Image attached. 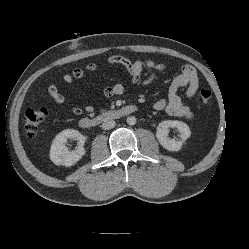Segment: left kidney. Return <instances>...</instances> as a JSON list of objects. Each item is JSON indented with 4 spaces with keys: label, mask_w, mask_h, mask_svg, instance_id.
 <instances>
[{
    "label": "left kidney",
    "mask_w": 249,
    "mask_h": 249,
    "mask_svg": "<svg viewBox=\"0 0 249 249\" xmlns=\"http://www.w3.org/2000/svg\"><path fill=\"white\" fill-rule=\"evenodd\" d=\"M176 127L180 133V139L175 140L168 137L169 128ZM191 131L188 125L177 120H165L159 123L156 137L163 148L168 151H179L182 145L190 137Z\"/></svg>",
    "instance_id": "obj_1"
}]
</instances>
